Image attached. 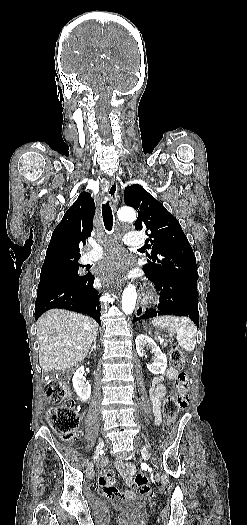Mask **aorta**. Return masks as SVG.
Returning <instances> with one entry per match:
<instances>
[{
    "label": "aorta",
    "mask_w": 247,
    "mask_h": 525,
    "mask_svg": "<svg viewBox=\"0 0 247 525\" xmlns=\"http://www.w3.org/2000/svg\"><path fill=\"white\" fill-rule=\"evenodd\" d=\"M117 216L119 220L124 222H134L136 220V212L134 209L129 207H123L118 210ZM137 299L136 287L129 284L123 291L122 295V310L126 314H131L135 308Z\"/></svg>",
    "instance_id": "obj_1"
}]
</instances>
